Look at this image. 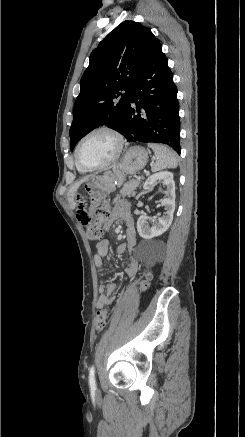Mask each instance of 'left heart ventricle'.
I'll return each instance as SVG.
<instances>
[{"mask_svg": "<svg viewBox=\"0 0 245 437\" xmlns=\"http://www.w3.org/2000/svg\"><path fill=\"white\" fill-rule=\"evenodd\" d=\"M116 150V140L105 132L89 136L80 147V158L88 165H98L109 160Z\"/></svg>", "mask_w": 245, "mask_h": 437, "instance_id": "1", "label": "left heart ventricle"}]
</instances>
